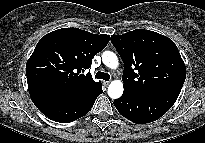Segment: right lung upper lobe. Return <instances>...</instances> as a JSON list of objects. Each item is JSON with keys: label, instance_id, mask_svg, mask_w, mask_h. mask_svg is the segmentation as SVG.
Listing matches in <instances>:
<instances>
[{"label": "right lung upper lobe", "instance_id": "1", "mask_svg": "<svg viewBox=\"0 0 205 143\" xmlns=\"http://www.w3.org/2000/svg\"><path fill=\"white\" fill-rule=\"evenodd\" d=\"M109 35H97L78 28H62L46 34L37 43L26 64L31 96L62 99L74 97L99 82L90 73L93 57L103 50Z\"/></svg>", "mask_w": 205, "mask_h": 143}]
</instances>
